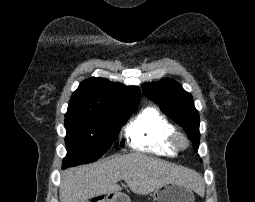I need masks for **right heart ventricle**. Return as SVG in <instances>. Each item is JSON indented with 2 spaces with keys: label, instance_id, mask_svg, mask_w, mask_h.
I'll return each instance as SVG.
<instances>
[{
  "label": "right heart ventricle",
  "instance_id": "e07e8e85",
  "mask_svg": "<svg viewBox=\"0 0 255 202\" xmlns=\"http://www.w3.org/2000/svg\"><path fill=\"white\" fill-rule=\"evenodd\" d=\"M174 132V125L157 108L147 106L129 122L125 136L135 149L172 156L177 151L170 142Z\"/></svg>",
  "mask_w": 255,
  "mask_h": 202
}]
</instances>
